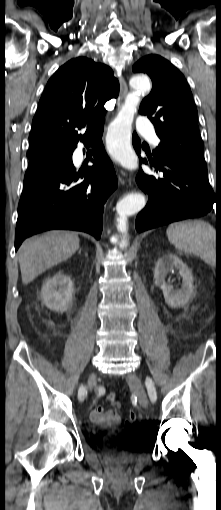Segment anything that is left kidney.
Here are the masks:
<instances>
[{
    "label": "left kidney",
    "mask_w": 221,
    "mask_h": 510,
    "mask_svg": "<svg viewBox=\"0 0 221 510\" xmlns=\"http://www.w3.org/2000/svg\"><path fill=\"white\" fill-rule=\"evenodd\" d=\"M173 269L179 270V274L182 277L181 288L177 290L165 281L167 274ZM154 280L155 284L162 289L165 302L170 307L184 306L193 296L194 279L192 272L178 256L172 253H167L158 259L154 269Z\"/></svg>",
    "instance_id": "obj_1"
}]
</instances>
